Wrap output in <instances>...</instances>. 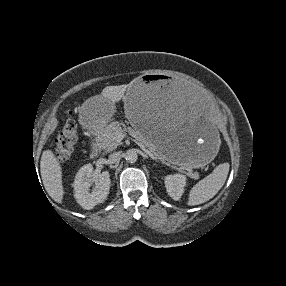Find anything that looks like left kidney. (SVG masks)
I'll return each mask as SVG.
<instances>
[{
  "label": "left kidney",
  "mask_w": 286,
  "mask_h": 286,
  "mask_svg": "<svg viewBox=\"0 0 286 286\" xmlns=\"http://www.w3.org/2000/svg\"><path fill=\"white\" fill-rule=\"evenodd\" d=\"M186 185V176L183 174H173L165 177V187L168 195L174 199L179 200L184 193Z\"/></svg>",
  "instance_id": "5707ae66"
}]
</instances>
